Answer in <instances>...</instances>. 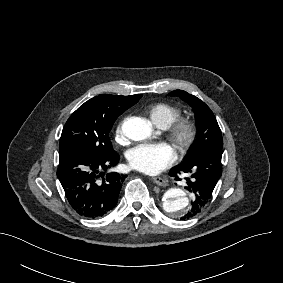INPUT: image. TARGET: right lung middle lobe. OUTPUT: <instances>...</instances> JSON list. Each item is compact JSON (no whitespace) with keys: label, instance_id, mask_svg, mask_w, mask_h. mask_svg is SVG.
Here are the masks:
<instances>
[{"label":"right lung middle lobe","instance_id":"1","mask_svg":"<svg viewBox=\"0 0 283 283\" xmlns=\"http://www.w3.org/2000/svg\"><path fill=\"white\" fill-rule=\"evenodd\" d=\"M141 97V94H101L82 104L63 128L59 152L70 147H84L99 156L112 153L109 133L115 120Z\"/></svg>","mask_w":283,"mask_h":283}]
</instances>
